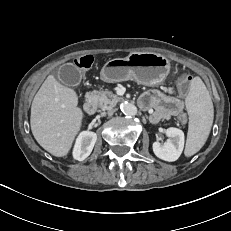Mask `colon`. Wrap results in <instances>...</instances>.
Instances as JSON below:
<instances>
[{
    "mask_svg": "<svg viewBox=\"0 0 231 231\" xmlns=\"http://www.w3.org/2000/svg\"><path fill=\"white\" fill-rule=\"evenodd\" d=\"M94 62L93 56L91 55H84L75 60V65L79 69H89ZM82 74H85V71H82ZM81 78H85V75H81ZM193 80V77L189 73H185L180 77L179 83H178V90L181 94L185 95L189 92L191 82ZM179 120L182 123H185L187 120V117L185 114H182L179 116Z\"/></svg>",
    "mask_w": 231,
    "mask_h": 231,
    "instance_id": "1",
    "label": "colon"
}]
</instances>
